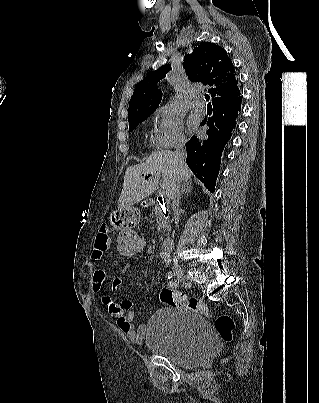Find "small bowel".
<instances>
[{"label":"small bowel","mask_w":319,"mask_h":403,"mask_svg":"<svg viewBox=\"0 0 319 403\" xmlns=\"http://www.w3.org/2000/svg\"><path fill=\"white\" fill-rule=\"evenodd\" d=\"M137 234V233H135ZM110 245L109 230L107 227H101L94 243L91 258L95 266L94 269V288L96 290H101L104 286L106 280V273L101 268L100 260L103 254L107 251ZM161 260L164 264L169 262V256L166 252L161 253ZM122 278H115L112 282L113 289L118 290L122 287ZM170 288L174 286L172 283L169 284ZM102 303L107 308L111 317H113L120 330L129 338L133 343H141L146 336L147 327L145 325H140L136 327L133 323V317L135 314L134 304L131 300H115L113 302L112 298L108 294L102 296Z\"/></svg>","instance_id":"c3829d8e"}]
</instances>
